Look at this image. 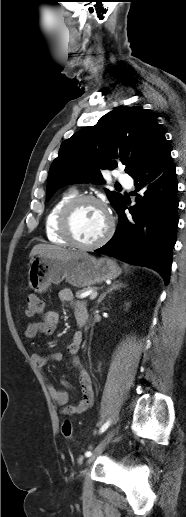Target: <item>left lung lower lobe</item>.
<instances>
[{
	"label": "left lung lower lobe",
	"mask_w": 186,
	"mask_h": 517,
	"mask_svg": "<svg viewBox=\"0 0 186 517\" xmlns=\"http://www.w3.org/2000/svg\"><path fill=\"white\" fill-rule=\"evenodd\" d=\"M130 176L135 180L134 195H137V204L129 208L132 217H126L124 200L116 209L119 224L114 236L95 251L152 268L167 284L176 242L179 202L175 165L166 138L160 140Z\"/></svg>",
	"instance_id": "obj_1"
}]
</instances>
